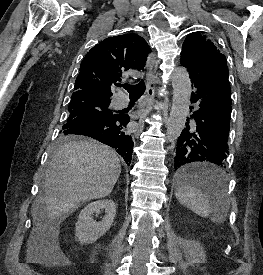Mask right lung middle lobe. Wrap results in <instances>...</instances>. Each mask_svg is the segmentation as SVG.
Wrapping results in <instances>:
<instances>
[{
  "mask_svg": "<svg viewBox=\"0 0 263 275\" xmlns=\"http://www.w3.org/2000/svg\"><path fill=\"white\" fill-rule=\"evenodd\" d=\"M110 102V98L100 97L94 94L72 96L68 107L69 116L58 136L57 142L72 141V136L66 134L64 130L79 122L113 116V112L108 108Z\"/></svg>",
  "mask_w": 263,
  "mask_h": 275,
  "instance_id": "dd1d6c3e",
  "label": "right lung middle lobe"
}]
</instances>
